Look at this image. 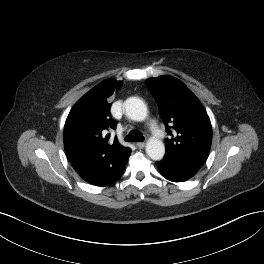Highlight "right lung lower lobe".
<instances>
[{
	"instance_id": "98d812e1",
	"label": "right lung lower lobe",
	"mask_w": 264,
	"mask_h": 264,
	"mask_svg": "<svg viewBox=\"0 0 264 264\" xmlns=\"http://www.w3.org/2000/svg\"><path fill=\"white\" fill-rule=\"evenodd\" d=\"M130 155L118 165L103 161L73 164L74 169L86 182L96 186H108L118 180L124 172Z\"/></svg>"
}]
</instances>
